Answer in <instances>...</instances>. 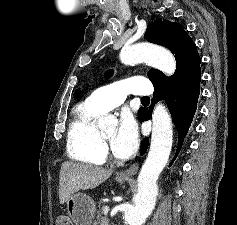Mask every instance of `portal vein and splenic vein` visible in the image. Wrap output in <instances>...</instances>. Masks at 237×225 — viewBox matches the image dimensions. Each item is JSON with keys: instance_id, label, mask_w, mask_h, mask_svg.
<instances>
[{"instance_id": "portal-vein-and-splenic-vein-1", "label": "portal vein and splenic vein", "mask_w": 237, "mask_h": 225, "mask_svg": "<svg viewBox=\"0 0 237 225\" xmlns=\"http://www.w3.org/2000/svg\"><path fill=\"white\" fill-rule=\"evenodd\" d=\"M108 212H109V206L105 205V206L103 207V213H104L105 215H107Z\"/></svg>"}]
</instances>
